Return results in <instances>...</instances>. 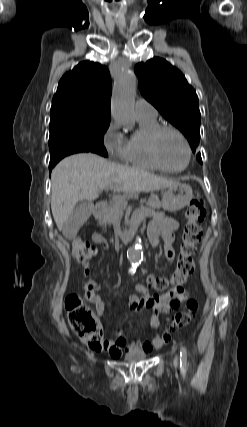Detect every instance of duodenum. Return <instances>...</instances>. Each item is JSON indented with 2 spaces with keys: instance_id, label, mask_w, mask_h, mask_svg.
Returning <instances> with one entry per match:
<instances>
[{
  "instance_id": "1",
  "label": "duodenum",
  "mask_w": 247,
  "mask_h": 427,
  "mask_svg": "<svg viewBox=\"0 0 247 427\" xmlns=\"http://www.w3.org/2000/svg\"><path fill=\"white\" fill-rule=\"evenodd\" d=\"M106 209H107V203L105 201H99L95 205L94 215L96 217H101L105 213ZM133 235H134L133 228H129L120 236L119 240L122 242H129L133 238Z\"/></svg>"
}]
</instances>
